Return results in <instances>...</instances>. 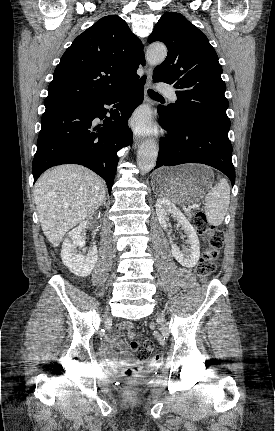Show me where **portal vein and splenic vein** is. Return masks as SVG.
Segmentation results:
<instances>
[{
    "mask_svg": "<svg viewBox=\"0 0 275 431\" xmlns=\"http://www.w3.org/2000/svg\"><path fill=\"white\" fill-rule=\"evenodd\" d=\"M191 208H192V206H191V205H189V206H187V207H183V209H184V211H185L186 213L190 212V211H191Z\"/></svg>",
    "mask_w": 275,
    "mask_h": 431,
    "instance_id": "1",
    "label": "portal vein and splenic vein"
}]
</instances>
